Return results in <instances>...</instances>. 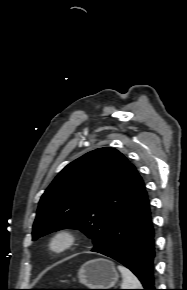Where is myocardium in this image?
<instances>
[{
    "mask_svg": "<svg viewBox=\"0 0 187 290\" xmlns=\"http://www.w3.org/2000/svg\"><path fill=\"white\" fill-rule=\"evenodd\" d=\"M78 241L76 232L70 228H61L52 233L48 240V250L56 255L72 249Z\"/></svg>",
    "mask_w": 187,
    "mask_h": 290,
    "instance_id": "1",
    "label": "myocardium"
}]
</instances>
